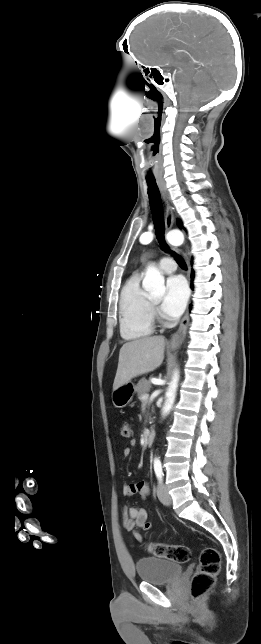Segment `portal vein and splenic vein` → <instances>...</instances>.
Returning <instances> with one entry per match:
<instances>
[{"label": "portal vein and splenic vein", "instance_id": "obj_1", "mask_svg": "<svg viewBox=\"0 0 261 644\" xmlns=\"http://www.w3.org/2000/svg\"><path fill=\"white\" fill-rule=\"evenodd\" d=\"M148 398H149V395H148V394H144V395L142 396V399H143V400H148Z\"/></svg>", "mask_w": 261, "mask_h": 644}]
</instances>
